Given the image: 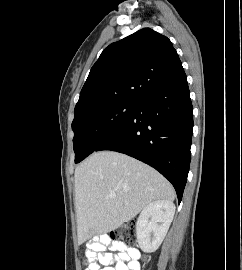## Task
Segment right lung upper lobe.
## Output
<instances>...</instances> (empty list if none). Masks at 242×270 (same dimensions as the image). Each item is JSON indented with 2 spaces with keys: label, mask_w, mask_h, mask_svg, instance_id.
I'll use <instances>...</instances> for the list:
<instances>
[{
  "label": "right lung upper lobe",
  "mask_w": 242,
  "mask_h": 270,
  "mask_svg": "<svg viewBox=\"0 0 242 270\" xmlns=\"http://www.w3.org/2000/svg\"><path fill=\"white\" fill-rule=\"evenodd\" d=\"M182 64L171 41L144 28L103 50L91 68L75 106V116L118 100H138Z\"/></svg>",
  "instance_id": "obj_1"
}]
</instances>
